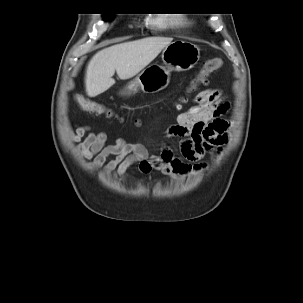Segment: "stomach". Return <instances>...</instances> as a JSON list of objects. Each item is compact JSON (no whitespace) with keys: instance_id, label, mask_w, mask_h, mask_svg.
<instances>
[{"instance_id":"stomach-1","label":"stomach","mask_w":303,"mask_h":303,"mask_svg":"<svg viewBox=\"0 0 303 303\" xmlns=\"http://www.w3.org/2000/svg\"><path fill=\"white\" fill-rule=\"evenodd\" d=\"M200 59V49L197 45L175 40L168 44L162 52L164 66L151 65L145 68L135 79L125 87L124 94L155 93L166 88L170 82L172 70L186 71L193 68Z\"/></svg>"}]
</instances>
